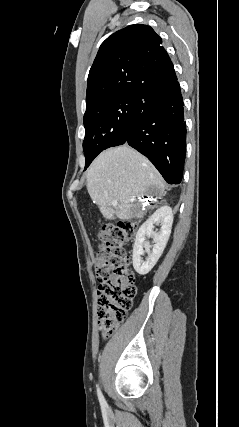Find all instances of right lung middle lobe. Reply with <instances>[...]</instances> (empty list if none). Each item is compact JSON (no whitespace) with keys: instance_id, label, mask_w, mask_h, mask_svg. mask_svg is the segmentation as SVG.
<instances>
[{"instance_id":"right-lung-middle-lobe-1","label":"right lung middle lobe","mask_w":239,"mask_h":427,"mask_svg":"<svg viewBox=\"0 0 239 427\" xmlns=\"http://www.w3.org/2000/svg\"><path fill=\"white\" fill-rule=\"evenodd\" d=\"M138 96H123L96 102L86 107L83 150L85 169L103 150L124 143Z\"/></svg>"}]
</instances>
